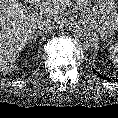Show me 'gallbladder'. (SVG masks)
<instances>
[{
  "instance_id": "obj_1",
  "label": "gallbladder",
  "mask_w": 118,
  "mask_h": 118,
  "mask_svg": "<svg viewBox=\"0 0 118 118\" xmlns=\"http://www.w3.org/2000/svg\"><path fill=\"white\" fill-rule=\"evenodd\" d=\"M27 8H28L27 6H23V10H24V11H26Z\"/></svg>"
}]
</instances>
